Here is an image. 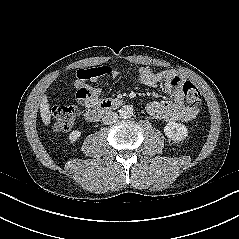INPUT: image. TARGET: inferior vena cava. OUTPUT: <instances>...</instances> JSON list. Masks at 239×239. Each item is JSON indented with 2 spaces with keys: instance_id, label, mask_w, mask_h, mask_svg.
<instances>
[{
  "instance_id": "602c4592",
  "label": "inferior vena cava",
  "mask_w": 239,
  "mask_h": 239,
  "mask_svg": "<svg viewBox=\"0 0 239 239\" xmlns=\"http://www.w3.org/2000/svg\"><path fill=\"white\" fill-rule=\"evenodd\" d=\"M118 120V114L113 111H108L102 118L104 124L109 125L115 123Z\"/></svg>"
}]
</instances>
